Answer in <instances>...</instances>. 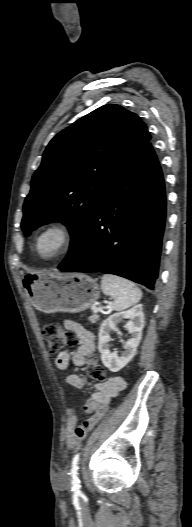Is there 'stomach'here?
<instances>
[{"label":"stomach","instance_id":"1","mask_svg":"<svg viewBox=\"0 0 192 527\" xmlns=\"http://www.w3.org/2000/svg\"><path fill=\"white\" fill-rule=\"evenodd\" d=\"M33 306L44 313H79L99 298L96 279L80 274H28L24 278Z\"/></svg>","mask_w":192,"mask_h":527}]
</instances>
